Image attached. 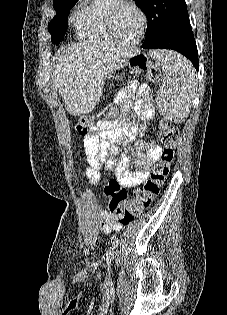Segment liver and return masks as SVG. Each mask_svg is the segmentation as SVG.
Returning a JSON list of instances; mask_svg holds the SVG:
<instances>
[{"label":"liver","mask_w":227,"mask_h":315,"mask_svg":"<svg viewBox=\"0 0 227 315\" xmlns=\"http://www.w3.org/2000/svg\"><path fill=\"white\" fill-rule=\"evenodd\" d=\"M53 86L69 114L90 113L102 97L105 80L133 54L105 45L73 44L57 52ZM57 59V57H56Z\"/></svg>","instance_id":"obj_1"}]
</instances>
